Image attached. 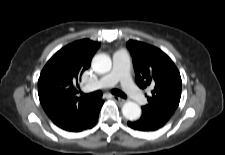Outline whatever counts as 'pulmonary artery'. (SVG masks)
<instances>
[{"label": "pulmonary artery", "instance_id": "e3ab8cb5", "mask_svg": "<svg viewBox=\"0 0 225 155\" xmlns=\"http://www.w3.org/2000/svg\"><path fill=\"white\" fill-rule=\"evenodd\" d=\"M120 82L122 89L133 100L143 103L145 98L141 91L133 83L129 74V56L126 50L120 49L113 55V69L110 73L99 79L91 89L112 87Z\"/></svg>", "mask_w": 225, "mask_h": 155}]
</instances>
